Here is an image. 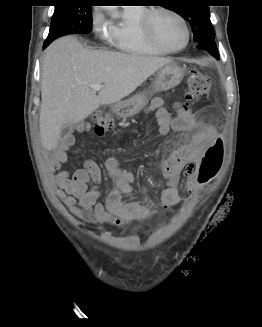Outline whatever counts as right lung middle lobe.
<instances>
[{"mask_svg": "<svg viewBox=\"0 0 262 327\" xmlns=\"http://www.w3.org/2000/svg\"><path fill=\"white\" fill-rule=\"evenodd\" d=\"M55 6L44 48L54 39L67 34H86L91 31V6L77 5V0L59 1Z\"/></svg>", "mask_w": 262, "mask_h": 327, "instance_id": "right-lung-middle-lobe-1", "label": "right lung middle lobe"}]
</instances>
